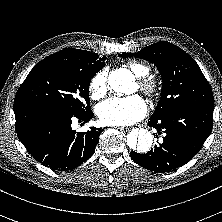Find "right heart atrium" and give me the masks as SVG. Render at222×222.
<instances>
[{"mask_svg": "<svg viewBox=\"0 0 222 222\" xmlns=\"http://www.w3.org/2000/svg\"><path fill=\"white\" fill-rule=\"evenodd\" d=\"M89 90L93 99L102 98L107 92V72H98L90 81Z\"/></svg>", "mask_w": 222, "mask_h": 222, "instance_id": "obj_1", "label": "right heart atrium"}]
</instances>
